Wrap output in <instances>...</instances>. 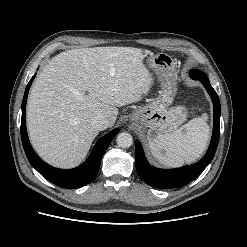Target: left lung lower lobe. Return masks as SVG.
<instances>
[{
    "label": "left lung lower lobe",
    "instance_id": "1",
    "mask_svg": "<svg viewBox=\"0 0 247 247\" xmlns=\"http://www.w3.org/2000/svg\"><path fill=\"white\" fill-rule=\"evenodd\" d=\"M190 76L194 80H200L209 95L211 96L214 107V125L213 134L209 148L205 156L197 163L189 166H184L176 169H158L151 166L144 155L141 143L135 141V162L137 173L140 178L155 188L172 189L183 186L195 178H197L207 167L213 159L218 141H219V125L221 107L217 93L210 85L209 79L206 74L200 73L196 70L190 72Z\"/></svg>",
    "mask_w": 247,
    "mask_h": 247
}]
</instances>
